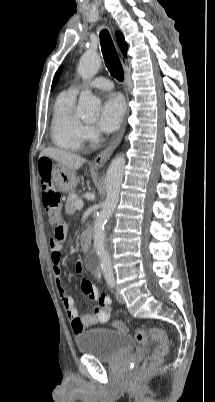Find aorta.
Returning <instances> with one entry per match:
<instances>
[{"mask_svg":"<svg viewBox=\"0 0 215 402\" xmlns=\"http://www.w3.org/2000/svg\"><path fill=\"white\" fill-rule=\"evenodd\" d=\"M101 65V58L96 53H85L79 61L77 71L83 80L93 78ZM100 100L90 91H82L77 106V115L84 120H95L99 117ZM125 170V157L120 154L110 163L105 181L106 199L97 218L94 228L95 248L89 265H100L105 278H113V268L109 251L105 224L112 216L118 201Z\"/></svg>","mask_w":215,"mask_h":402,"instance_id":"1","label":"aorta"}]
</instances>
